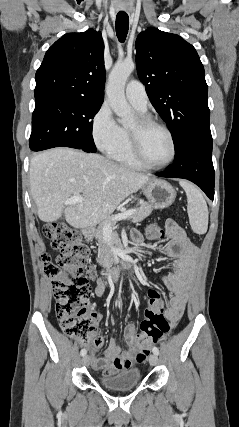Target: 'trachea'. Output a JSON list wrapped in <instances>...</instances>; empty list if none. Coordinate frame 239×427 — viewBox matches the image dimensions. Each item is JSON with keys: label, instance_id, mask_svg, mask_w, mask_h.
<instances>
[{"label": "trachea", "instance_id": "1", "mask_svg": "<svg viewBox=\"0 0 239 427\" xmlns=\"http://www.w3.org/2000/svg\"><path fill=\"white\" fill-rule=\"evenodd\" d=\"M116 34L120 42H124L129 29V18L126 14H118L116 17Z\"/></svg>", "mask_w": 239, "mask_h": 427}]
</instances>
